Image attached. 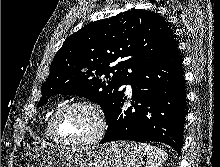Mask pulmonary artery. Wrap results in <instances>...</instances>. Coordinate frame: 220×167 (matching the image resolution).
<instances>
[{
	"label": "pulmonary artery",
	"mask_w": 220,
	"mask_h": 167,
	"mask_svg": "<svg viewBox=\"0 0 220 167\" xmlns=\"http://www.w3.org/2000/svg\"><path fill=\"white\" fill-rule=\"evenodd\" d=\"M126 87H127L128 92H130V91H131V86H130V84H127Z\"/></svg>",
	"instance_id": "e3ab8cb5"
}]
</instances>
